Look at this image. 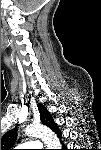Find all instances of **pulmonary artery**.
I'll return each mask as SVG.
<instances>
[{
  "label": "pulmonary artery",
  "instance_id": "obj_1",
  "mask_svg": "<svg viewBox=\"0 0 101 150\" xmlns=\"http://www.w3.org/2000/svg\"><path fill=\"white\" fill-rule=\"evenodd\" d=\"M21 147H25V148H38V147H40V143L39 142H27V143L21 145Z\"/></svg>",
  "mask_w": 101,
  "mask_h": 150
}]
</instances>
